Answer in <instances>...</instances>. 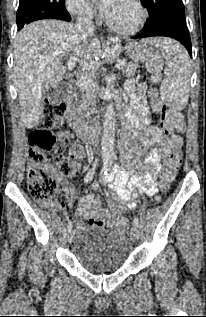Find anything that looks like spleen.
<instances>
[{"label": "spleen", "instance_id": "obj_1", "mask_svg": "<svg viewBox=\"0 0 206 317\" xmlns=\"http://www.w3.org/2000/svg\"><path fill=\"white\" fill-rule=\"evenodd\" d=\"M142 42L158 48L166 61L160 87L162 101L171 109L183 110L188 103L191 73L187 51L180 43L168 38H150Z\"/></svg>", "mask_w": 206, "mask_h": 317}]
</instances>
